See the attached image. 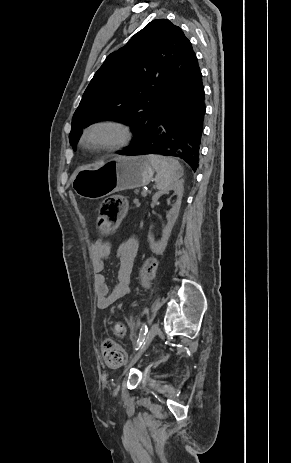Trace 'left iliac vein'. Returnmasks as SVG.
Listing matches in <instances>:
<instances>
[{"mask_svg":"<svg viewBox=\"0 0 291 463\" xmlns=\"http://www.w3.org/2000/svg\"><path fill=\"white\" fill-rule=\"evenodd\" d=\"M158 332H159V324L154 323L151 326V328L149 329L148 333H147L146 340H145L143 346L141 347V349L135 355L132 356L129 364L127 365V367L124 370V374L139 360V358L147 350V348L149 347L151 341L154 339V337L157 335Z\"/></svg>","mask_w":291,"mask_h":463,"instance_id":"1","label":"left iliac vein"}]
</instances>
